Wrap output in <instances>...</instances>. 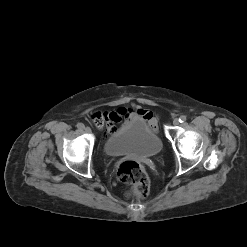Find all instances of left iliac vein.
Returning <instances> with one entry per match:
<instances>
[{
	"mask_svg": "<svg viewBox=\"0 0 247 247\" xmlns=\"http://www.w3.org/2000/svg\"><path fill=\"white\" fill-rule=\"evenodd\" d=\"M173 125H175V126L179 125V120L177 118H175L173 120Z\"/></svg>",
	"mask_w": 247,
	"mask_h": 247,
	"instance_id": "4c4485c4",
	"label": "left iliac vein"
}]
</instances>
